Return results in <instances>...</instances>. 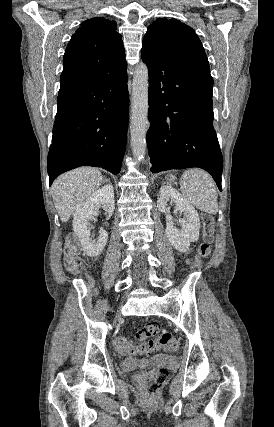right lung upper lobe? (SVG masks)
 Listing matches in <instances>:
<instances>
[{
  "instance_id": "right-lung-upper-lobe-1",
  "label": "right lung upper lobe",
  "mask_w": 274,
  "mask_h": 427,
  "mask_svg": "<svg viewBox=\"0 0 274 427\" xmlns=\"http://www.w3.org/2000/svg\"><path fill=\"white\" fill-rule=\"evenodd\" d=\"M116 22L103 17L85 20L72 35L63 58L59 94L100 79L126 64Z\"/></svg>"
}]
</instances>
